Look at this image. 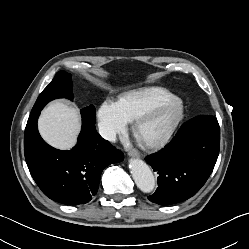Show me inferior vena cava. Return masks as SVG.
<instances>
[{
	"label": "inferior vena cava",
	"instance_id": "obj_1",
	"mask_svg": "<svg viewBox=\"0 0 249 249\" xmlns=\"http://www.w3.org/2000/svg\"><path fill=\"white\" fill-rule=\"evenodd\" d=\"M99 133L104 139L108 141H111V142L116 141V132L110 127L101 126L99 128Z\"/></svg>",
	"mask_w": 249,
	"mask_h": 249
}]
</instances>
